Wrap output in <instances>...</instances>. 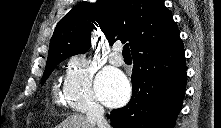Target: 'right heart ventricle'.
<instances>
[{"label": "right heart ventricle", "mask_w": 221, "mask_h": 128, "mask_svg": "<svg viewBox=\"0 0 221 128\" xmlns=\"http://www.w3.org/2000/svg\"><path fill=\"white\" fill-rule=\"evenodd\" d=\"M56 95H57L56 100H57L58 104H62L64 102H66L64 95L63 96H59L58 94H56Z\"/></svg>", "instance_id": "e07e8e85"}]
</instances>
